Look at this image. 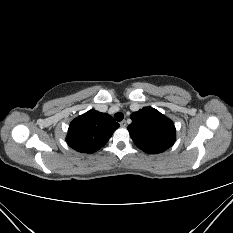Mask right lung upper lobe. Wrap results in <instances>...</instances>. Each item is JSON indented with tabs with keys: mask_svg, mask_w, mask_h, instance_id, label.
Masks as SVG:
<instances>
[{
	"mask_svg": "<svg viewBox=\"0 0 233 233\" xmlns=\"http://www.w3.org/2000/svg\"><path fill=\"white\" fill-rule=\"evenodd\" d=\"M118 127L110 115L89 110L70 123L66 141L78 152L93 153L107 143Z\"/></svg>",
	"mask_w": 233,
	"mask_h": 233,
	"instance_id": "1",
	"label": "right lung upper lobe"
}]
</instances>
